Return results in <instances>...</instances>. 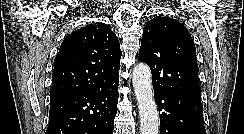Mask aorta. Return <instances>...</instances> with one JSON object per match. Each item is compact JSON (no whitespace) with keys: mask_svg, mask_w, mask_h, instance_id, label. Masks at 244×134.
<instances>
[{"mask_svg":"<svg viewBox=\"0 0 244 134\" xmlns=\"http://www.w3.org/2000/svg\"><path fill=\"white\" fill-rule=\"evenodd\" d=\"M132 76L140 114V134H159L158 110L149 66L144 63L137 64L133 68Z\"/></svg>","mask_w":244,"mask_h":134,"instance_id":"1","label":"aorta"}]
</instances>
